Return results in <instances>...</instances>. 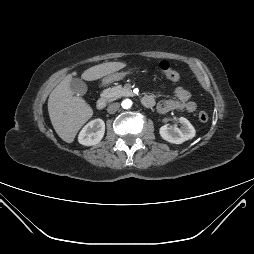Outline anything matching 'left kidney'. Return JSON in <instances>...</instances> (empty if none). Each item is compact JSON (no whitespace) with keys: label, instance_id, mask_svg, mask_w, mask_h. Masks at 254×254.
Listing matches in <instances>:
<instances>
[{"label":"left kidney","instance_id":"obj_1","mask_svg":"<svg viewBox=\"0 0 254 254\" xmlns=\"http://www.w3.org/2000/svg\"><path fill=\"white\" fill-rule=\"evenodd\" d=\"M181 127L176 126L169 127L164 125L160 128L159 133L161 137L173 144H181L189 139H192L195 136V129L192 124L184 117L179 118Z\"/></svg>","mask_w":254,"mask_h":254}]
</instances>
